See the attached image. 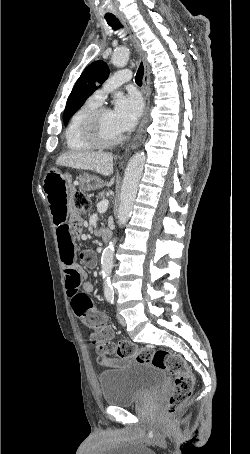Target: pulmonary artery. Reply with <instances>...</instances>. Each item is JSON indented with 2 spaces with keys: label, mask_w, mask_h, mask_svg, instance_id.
Returning <instances> with one entry per match:
<instances>
[{
  "label": "pulmonary artery",
  "mask_w": 250,
  "mask_h": 454,
  "mask_svg": "<svg viewBox=\"0 0 250 454\" xmlns=\"http://www.w3.org/2000/svg\"><path fill=\"white\" fill-rule=\"evenodd\" d=\"M131 77V72L128 70L116 72L105 82L102 88L96 90L89 99L97 104H101L110 91L118 88L122 84L128 83L131 80Z\"/></svg>",
  "instance_id": "pulmonary-artery-1"
}]
</instances>
